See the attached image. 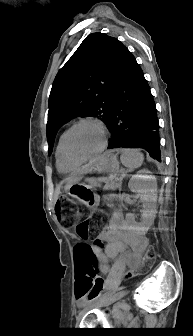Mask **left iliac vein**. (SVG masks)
<instances>
[{"label": "left iliac vein", "instance_id": "1", "mask_svg": "<svg viewBox=\"0 0 193 336\" xmlns=\"http://www.w3.org/2000/svg\"><path fill=\"white\" fill-rule=\"evenodd\" d=\"M126 294H127L126 290L120 291L117 294L108 297V299L104 303H101V304L104 305V306H109L110 304L114 303L115 301L123 298ZM89 309H90V306L84 307V309L79 312L77 320L79 321Z\"/></svg>", "mask_w": 193, "mask_h": 336}]
</instances>
